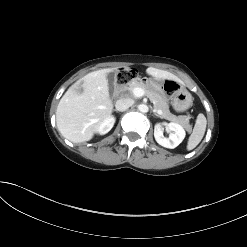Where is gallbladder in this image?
Returning a JSON list of instances; mask_svg holds the SVG:
<instances>
[{"label": "gallbladder", "mask_w": 247, "mask_h": 247, "mask_svg": "<svg viewBox=\"0 0 247 247\" xmlns=\"http://www.w3.org/2000/svg\"><path fill=\"white\" fill-rule=\"evenodd\" d=\"M106 78H107V82H108V86L110 89V92L112 93L116 84V74L115 72H108L106 74Z\"/></svg>", "instance_id": "gallbladder-1"}]
</instances>
